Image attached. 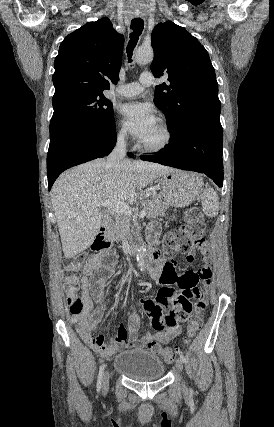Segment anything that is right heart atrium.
Here are the masks:
<instances>
[{
  "mask_svg": "<svg viewBox=\"0 0 274 427\" xmlns=\"http://www.w3.org/2000/svg\"><path fill=\"white\" fill-rule=\"evenodd\" d=\"M116 139H117V141H118L119 144L126 145V143H127V134H126V132L123 129L119 130L117 132V134H116Z\"/></svg>",
  "mask_w": 274,
  "mask_h": 427,
  "instance_id": "1",
  "label": "right heart atrium"
}]
</instances>
